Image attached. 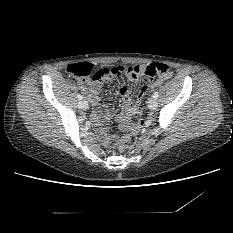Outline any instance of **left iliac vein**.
Returning <instances> with one entry per match:
<instances>
[{"instance_id": "4c4485c4", "label": "left iliac vein", "mask_w": 233, "mask_h": 233, "mask_svg": "<svg viewBox=\"0 0 233 233\" xmlns=\"http://www.w3.org/2000/svg\"><path fill=\"white\" fill-rule=\"evenodd\" d=\"M148 106L150 109H155L157 107V101L156 99H150L148 102Z\"/></svg>"}]
</instances>
